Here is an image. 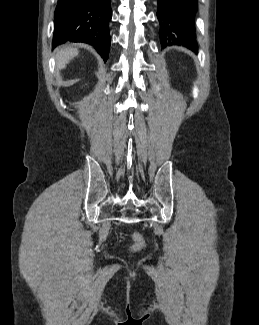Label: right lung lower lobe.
<instances>
[{
    "mask_svg": "<svg viewBox=\"0 0 259 325\" xmlns=\"http://www.w3.org/2000/svg\"><path fill=\"white\" fill-rule=\"evenodd\" d=\"M54 16V47L67 41L87 43L107 60L110 0H58Z\"/></svg>",
    "mask_w": 259,
    "mask_h": 325,
    "instance_id": "right-lung-lower-lobe-1",
    "label": "right lung lower lobe"
}]
</instances>
